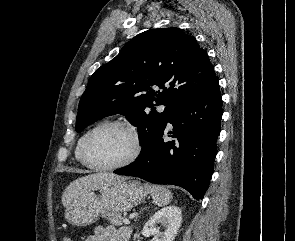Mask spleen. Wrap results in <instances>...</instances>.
Wrapping results in <instances>:
<instances>
[{"instance_id":"obj_1","label":"spleen","mask_w":295,"mask_h":241,"mask_svg":"<svg viewBox=\"0 0 295 241\" xmlns=\"http://www.w3.org/2000/svg\"><path fill=\"white\" fill-rule=\"evenodd\" d=\"M144 187L158 206L167 205L172 200L171 192L163 186L145 183Z\"/></svg>"}]
</instances>
